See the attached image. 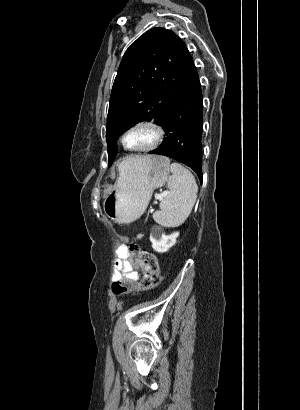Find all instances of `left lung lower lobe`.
<instances>
[{
	"mask_svg": "<svg viewBox=\"0 0 300 410\" xmlns=\"http://www.w3.org/2000/svg\"><path fill=\"white\" fill-rule=\"evenodd\" d=\"M160 126L167 136L159 148L149 153L167 156L186 164L202 181L203 101L195 66Z\"/></svg>",
	"mask_w": 300,
	"mask_h": 410,
	"instance_id": "0a47b994",
	"label": "left lung lower lobe"
}]
</instances>
